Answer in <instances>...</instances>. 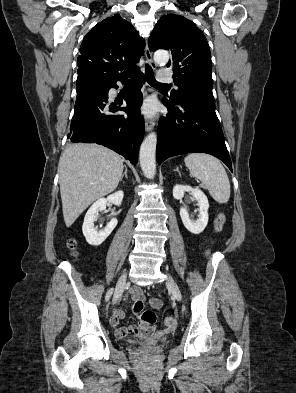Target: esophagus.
<instances>
[{
    "instance_id": "34e87169",
    "label": "esophagus",
    "mask_w": 296,
    "mask_h": 393,
    "mask_svg": "<svg viewBox=\"0 0 296 393\" xmlns=\"http://www.w3.org/2000/svg\"><path fill=\"white\" fill-rule=\"evenodd\" d=\"M144 54H145V58H146L147 62L149 63V65L153 69H156L157 65L153 61L152 53H151V51H150V49L148 47V43L147 42H146ZM154 126H155V121L153 119H150V118H146L145 119V128H146L147 132L153 130Z\"/></svg>"
}]
</instances>
